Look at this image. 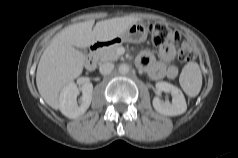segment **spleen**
I'll use <instances>...</instances> for the list:
<instances>
[{
    "label": "spleen",
    "instance_id": "1",
    "mask_svg": "<svg viewBox=\"0 0 238 158\" xmlns=\"http://www.w3.org/2000/svg\"><path fill=\"white\" fill-rule=\"evenodd\" d=\"M179 82L187 95L197 96L202 86V74L199 65L196 62H188L180 74Z\"/></svg>",
    "mask_w": 238,
    "mask_h": 158
}]
</instances>
